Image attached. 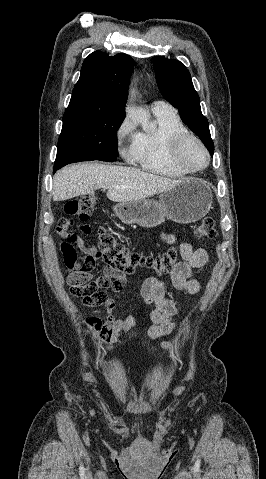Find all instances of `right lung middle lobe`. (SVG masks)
<instances>
[{
	"instance_id": "obj_1",
	"label": "right lung middle lobe",
	"mask_w": 266,
	"mask_h": 479,
	"mask_svg": "<svg viewBox=\"0 0 266 479\" xmlns=\"http://www.w3.org/2000/svg\"><path fill=\"white\" fill-rule=\"evenodd\" d=\"M124 116L68 115L58 141L55 164L117 158L116 134Z\"/></svg>"
}]
</instances>
